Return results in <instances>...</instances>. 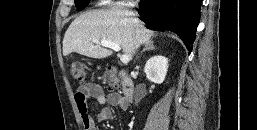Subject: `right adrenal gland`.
Returning a JSON list of instances; mask_svg holds the SVG:
<instances>
[{"mask_svg":"<svg viewBox=\"0 0 257 130\" xmlns=\"http://www.w3.org/2000/svg\"><path fill=\"white\" fill-rule=\"evenodd\" d=\"M150 50H155V47H154V45H153L152 42L146 43V44L144 45V48H143V50L141 51V54H143V53L146 52V51H150ZM138 58H139V57H138Z\"/></svg>","mask_w":257,"mask_h":130,"instance_id":"1","label":"right adrenal gland"}]
</instances>
